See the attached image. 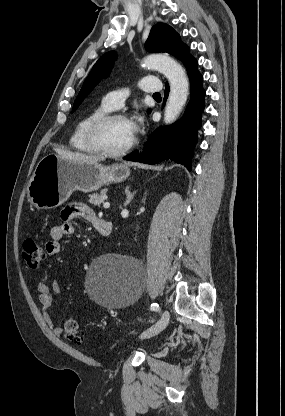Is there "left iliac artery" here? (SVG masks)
Returning <instances> with one entry per match:
<instances>
[{
	"label": "left iliac artery",
	"instance_id": "left-iliac-artery-1",
	"mask_svg": "<svg viewBox=\"0 0 285 416\" xmlns=\"http://www.w3.org/2000/svg\"><path fill=\"white\" fill-rule=\"evenodd\" d=\"M150 308H151L152 311H159L160 310L159 304L156 303V302L152 303Z\"/></svg>",
	"mask_w": 285,
	"mask_h": 416
}]
</instances>
